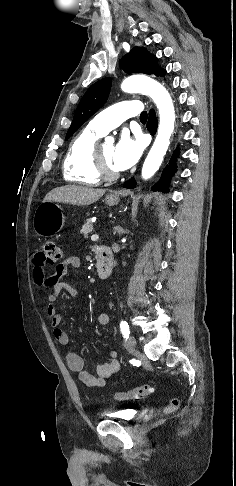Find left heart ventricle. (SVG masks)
<instances>
[{
  "instance_id": "1",
  "label": "left heart ventricle",
  "mask_w": 236,
  "mask_h": 486,
  "mask_svg": "<svg viewBox=\"0 0 236 486\" xmlns=\"http://www.w3.org/2000/svg\"><path fill=\"white\" fill-rule=\"evenodd\" d=\"M100 153L108 169L111 171H118L113 163L114 147L111 145H102L100 146Z\"/></svg>"
}]
</instances>
